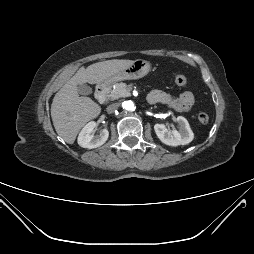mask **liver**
I'll use <instances>...</instances> for the list:
<instances>
[{"label":"liver","instance_id":"obj_1","mask_svg":"<svg viewBox=\"0 0 254 254\" xmlns=\"http://www.w3.org/2000/svg\"><path fill=\"white\" fill-rule=\"evenodd\" d=\"M133 60H107L80 68L54 96L51 117L57 134L68 144H73L80 129L96 118L101 107L89 97L78 94V85L98 84L129 67Z\"/></svg>","mask_w":254,"mask_h":254}]
</instances>
